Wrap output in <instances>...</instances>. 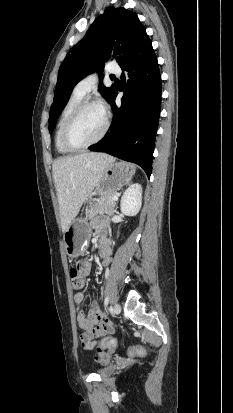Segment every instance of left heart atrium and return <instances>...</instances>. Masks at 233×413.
Returning <instances> with one entry per match:
<instances>
[{
	"label": "left heart atrium",
	"mask_w": 233,
	"mask_h": 413,
	"mask_svg": "<svg viewBox=\"0 0 233 413\" xmlns=\"http://www.w3.org/2000/svg\"><path fill=\"white\" fill-rule=\"evenodd\" d=\"M99 107H100V109L102 110V112H103L104 114H106L107 105H106V103H105L104 101H100V102H99Z\"/></svg>",
	"instance_id": "1"
}]
</instances>
